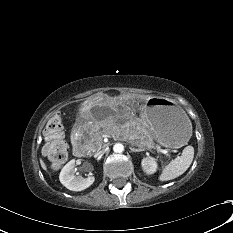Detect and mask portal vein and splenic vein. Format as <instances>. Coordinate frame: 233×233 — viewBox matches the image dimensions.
<instances>
[{"mask_svg": "<svg viewBox=\"0 0 233 233\" xmlns=\"http://www.w3.org/2000/svg\"><path fill=\"white\" fill-rule=\"evenodd\" d=\"M156 150H157L158 152H160V153L166 155V156H169L168 151L165 150V149L157 148Z\"/></svg>", "mask_w": 233, "mask_h": 233, "instance_id": "obj_1", "label": "portal vein and splenic vein"}]
</instances>
